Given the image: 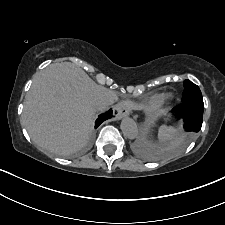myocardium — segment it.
Segmentation results:
<instances>
[{"mask_svg": "<svg viewBox=\"0 0 225 225\" xmlns=\"http://www.w3.org/2000/svg\"><path fill=\"white\" fill-rule=\"evenodd\" d=\"M171 99H172V95L171 94H164L162 96L161 103L164 104L166 102H169Z\"/></svg>", "mask_w": 225, "mask_h": 225, "instance_id": "myocardium-1", "label": "myocardium"}]
</instances>
